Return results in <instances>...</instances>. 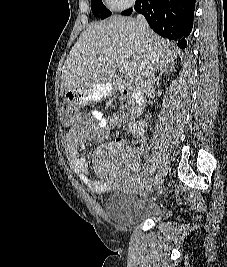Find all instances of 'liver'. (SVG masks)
Listing matches in <instances>:
<instances>
[{"label": "liver", "instance_id": "1", "mask_svg": "<svg viewBox=\"0 0 227 267\" xmlns=\"http://www.w3.org/2000/svg\"><path fill=\"white\" fill-rule=\"evenodd\" d=\"M100 57L105 61L99 60ZM177 58L174 45L150 30L143 39L137 23L130 17L115 15L107 21L92 23L72 47L62 69L61 91L110 83L116 62L131 68L136 83H141L149 64L166 69Z\"/></svg>", "mask_w": 227, "mask_h": 267}]
</instances>
